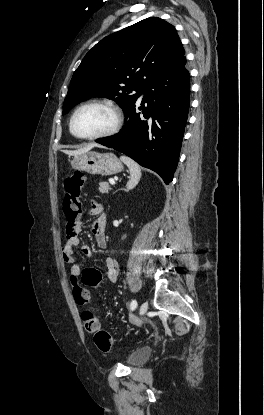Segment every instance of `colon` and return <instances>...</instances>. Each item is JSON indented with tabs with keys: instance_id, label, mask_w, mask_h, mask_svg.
Here are the masks:
<instances>
[{
	"instance_id": "1",
	"label": "colon",
	"mask_w": 264,
	"mask_h": 415,
	"mask_svg": "<svg viewBox=\"0 0 264 415\" xmlns=\"http://www.w3.org/2000/svg\"><path fill=\"white\" fill-rule=\"evenodd\" d=\"M85 183V176L80 171L73 172L64 181L63 212L66 218L65 233L67 236L77 234L78 222L81 215L80 192ZM72 293L74 300L79 306H86L90 300V293L87 288H94L101 284L102 274L97 269H86L82 271L78 278L71 277ZM84 327L94 334V341L97 347L105 353H110L113 349V339L111 335L100 328V323L96 312L86 307L84 310Z\"/></svg>"
}]
</instances>
